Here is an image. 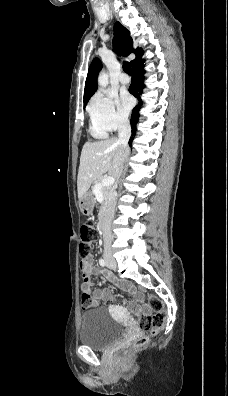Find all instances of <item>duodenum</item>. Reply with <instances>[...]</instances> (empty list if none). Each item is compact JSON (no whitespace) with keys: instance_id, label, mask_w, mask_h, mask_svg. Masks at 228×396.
<instances>
[{"instance_id":"obj_1","label":"duodenum","mask_w":228,"mask_h":396,"mask_svg":"<svg viewBox=\"0 0 228 396\" xmlns=\"http://www.w3.org/2000/svg\"><path fill=\"white\" fill-rule=\"evenodd\" d=\"M99 229L102 231L104 235L107 234V226L105 222V217H101L98 223Z\"/></svg>"}]
</instances>
